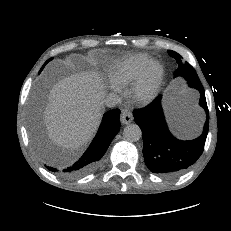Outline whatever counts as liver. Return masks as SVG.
<instances>
[{
  "instance_id": "1",
  "label": "liver",
  "mask_w": 231,
  "mask_h": 231,
  "mask_svg": "<svg viewBox=\"0 0 231 231\" xmlns=\"http://www.w3.org/2000/svg\"><path fill=\"white\" fill-rule=\"evenodd\" d=\"M105 86L93 71L72 74L50 90L43 112L49 138L64 149L77 150L95 135L104 111ZM32 141L41 156H46L38 133Z\"/></svg>"
}]
</instances>
